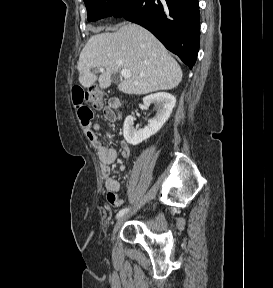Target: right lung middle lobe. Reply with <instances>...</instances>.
<instances>
[{"mask_svg": "<svg viewBox=\"0 0 273 288\" xmlns=\"http://www.w3.org/2000/svg\"><path fill=\"white\" fill-rule=\"evenodd\" d=\"M138 0H84L88 21H96L101 18L125 15Z\"/></svg>", "mask_w": 273, "mask_h": 288, "instance_id": "dd1d6c3e", "label": "right lung middle lobe"}]
</instances>
